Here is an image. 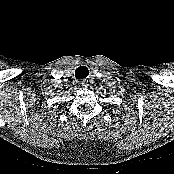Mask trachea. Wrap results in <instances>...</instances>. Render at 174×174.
Listing matches in <instances>:
<instances>
[{
    "mask_svg": "<svg viewBox=\"0 0 174 174\" xmlns=\"http://www.w3.org/2000/svg\"><path fill=\"white\" fill-rule=\"evenodd\" d=\"M89 75V70L85 66H80L75 70L76 79H85Z\"/></svg>",
    "mask_w": 174,
    "mask_h": 174,
    "instance_id": "trachea-1",
    "label": "trachea"
}]
</instances>
